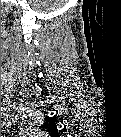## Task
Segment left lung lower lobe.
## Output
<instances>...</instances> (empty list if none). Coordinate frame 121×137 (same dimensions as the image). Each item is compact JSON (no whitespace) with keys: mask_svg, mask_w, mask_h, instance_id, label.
Returning <instances> with one entry per match:
<instances>
[{"mask_svg":"<svg viewBox=\"0 0 121 137\" xmlns=\"http://www.w3.org/2000/svg\"><path fill=\"white\" fill-rule=\"evenodd\" d=\"M55 133H57V130H56V132H53V134H55Z\"/></svg>","mask_w":121,"mask_h":137,"instance_id":"obj_1","label":"left lung lower lobe"}]
</instances>
